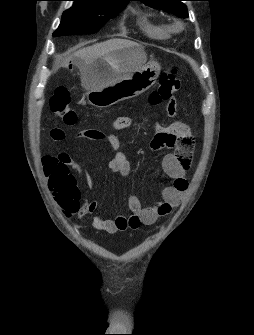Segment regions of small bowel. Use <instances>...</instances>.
Returning <instances> with one entry per match:
<instances>
[{"instance_id": "c3829d8e", "label": "small bowel", "mask_w": 254, "mask_h": 335, "mask_svg": "<svg viewBox=\"0 0 254 335\" xmlns=\"http://www.w3.org/2000/svg\"><path fill=\"white\" fill-rule=\"evenodd\" d=\"M166 108L163 109L164 115H176L178 99L175 94L169 95V100ZM130 118L126 116L116 118L112 127L115 130H122L129 126ZM155 138L151 143L153 150H158L163 147L172 149L162 161V168L165 174L172 179L173 184L163 189V201L152 206L144 207L139 198L131 195L128 199V207L131 211L129 216H117L114 219H104L101 216H95L93 225L96 229L114 234L125 230H137L142 225H153L160 217L168 215L174 207H177L183 197L184 192L188 187L186 174L190 169L194 141L191 134L190 126L182 121L171 123L170 127H161L155 125L153 127ZM51 138L54 141H62L64 132L59 128L51 130ZM78 138L82 140L106 141L112 149V155L108 162V168L112 173L122 177H127L130 174L131 168L125 153L120 148V142L116 135L109 133L103 134L92 129H82L78 132ZM167 138H172L171 143H168ZM64 169L63 177L66 178L71 185L75 184V177L71 170L79 175L90 186V177L86 169V164L78 163L71 159L66 153H61L58 156ZM45 169V167H44ZM53 194L57 196L56 190L52 189ZM62 208L67 216L77 215L79 218L93 214L97 209L96 201H86L79 203L73 196L68 195L62 199Z\"/></svg>"}]
</instances>
